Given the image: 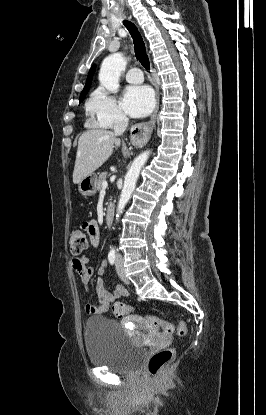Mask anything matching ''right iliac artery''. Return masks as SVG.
<instances>
[{
  "label": "right iliac artery",
  "mask_w": 266,
  "mask_h": 415,
  "mask_svg": "<svg viewBox=\"0 0 266 415\" xmlns=\"http://www.w3.org/2000/svg\"><path fill=\"white\" fill-rule=\"evenodd\" d=\"M108 260H109V263H110L111 265H113V264L115 263V260H116V254H115V252H114V251H110V252H109V254H108Z\"/></svg>",
  "instance_id": "right-iliac-artery-1"
}]
</instances>
